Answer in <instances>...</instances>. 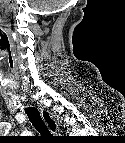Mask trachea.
<instances>
[{
	"mask_svg": "<svg viewBox=\"0 0 125 143\" xmlns=\"http://www.w3.org/2000/svg\"><path fill=\"white\" fill-rule=\"evenodd\" d=\"M29 120L31 121L32 125L34 126V128L42 135L45 137H53L51 132L49 131V129L47 128L45 122L43 121V119L40 116L39 111L34 108V107H28L25 109Z\"/></svg>",
	"mask_w": 125,
	"mask_h": 143,
	"instance_id": "trachea-1",
	"label": "trachea"
}]
</instances>
